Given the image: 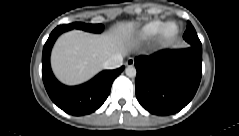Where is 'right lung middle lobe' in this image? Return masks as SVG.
I'll list each match as a JSON object with an SVG mask.
<instances>
[{
    "label": "right lung middle lobe",
    "instance_id": "right-lung-middle-lobe-1",
    "mask_svg": "<svg viewBox=\"0 0 239 136\" xmlns=\"http://www.w3.org/2000/svg\"><path fill=\"white\" fill-rule=\"evenodd\" d=\"M60 29H63V31L71 30L73 28L93 32V33H100L103 31V25L102 24H86L81 22L71 23L67 25H60Z\"/></svg>",
    "mask_w": 239,
    "mask_h": 136
}]
</instances>
